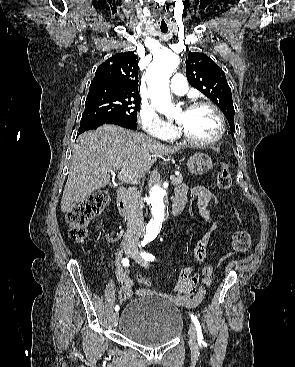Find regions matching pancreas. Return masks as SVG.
<instances>
[{"label":"pancreas","instance_id":"obj_1","mask_svg":"<svg viewBox=\"0 0 295 367\" xmlns=\"http://www.w3.org/2000/svg\"><path fill=\"white\" fill-rule=\"evenodd\" d=\"M183 182V177L181 174L174 176V179H172V184L173 185H179Z\"/></svg>","mask_w":295,"mask_h":367}]
</instances>
